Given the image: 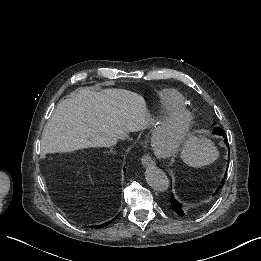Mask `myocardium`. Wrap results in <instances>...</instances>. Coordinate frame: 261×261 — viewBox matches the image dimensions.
<instances>
[{"mask_svg": "<svg viewBox=\"0 0 261 261\" xmlns=\"http://www.w3.org/2000/svg\"><path fill=\"white\" fill-rule=\"evenodd\" d=\"M182 119V128L180 134L179 143L169 150H157L153 149L149 145V138L153 130L162 122L172 118ZM194 124V115L187 108H173L166 110L162 113L155 114L144 121V125L141 130V137L147 146L148 151L155 157L162 159H172L178 157L185 150L188 143L191 130Z\"/></svg>", "mask_w": 261, "mask_h": 261, "instance_id": "obj_1", "label": "myocardium"}]
</instances>
